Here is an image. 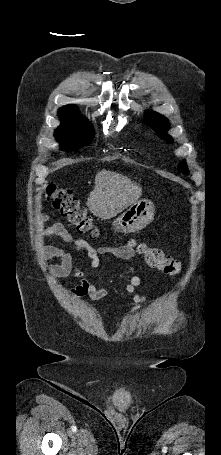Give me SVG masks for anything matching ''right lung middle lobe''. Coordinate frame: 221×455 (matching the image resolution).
<instances>
[{"label":"right lung middle lobe","mask_w":221,"mask_h":455,"mask_svg":"<svg viewBox=\"0 0 221 455\" xmlns=\"http://www.w3.org/2000/svg\"><path fill=\"white\" fill-rule=\"evenodd\" d=\"M55 136L61 147L69 152L88 145L94 134L89 122L77 123L62 120L61 125L55 131Z\"/></svg>","instance_id":"1"}]
</instances>
